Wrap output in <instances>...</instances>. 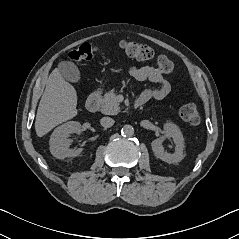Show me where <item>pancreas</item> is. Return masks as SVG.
Returning <instances> with one entry per match:
<instances>
[{
	"label": "pancreas",
	"mask_w": 239,
	"mask_h": 239,
	"mask_svg": "<svg viewBox=\"0 0 239 239\" xmlns=\"http://www.w3.org/2000/svg\"><path fill=\"white\" fill-rule=\"evenodd\" d=\"M101 112L106 115H116L120 112L119 102L113 90L105 94L102 99Z\"/></svg>",
	"instance_id": "cf45deb5"
}]
</instances>
